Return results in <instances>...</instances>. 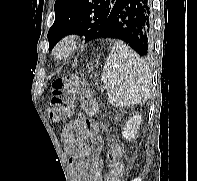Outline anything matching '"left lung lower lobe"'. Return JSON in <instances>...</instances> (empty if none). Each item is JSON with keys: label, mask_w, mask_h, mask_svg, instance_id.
I'll return each mask as SVG.
<instances>
[{"label": "left lung lower lobe", "mask_w": 197, "mask_h": 181, "mask_svg": "<svg viewBox=\"0 0 197 181\" xmlns=\"http://www.w3.org/2000/svg\"><path fill=\"white\" fill-rule=\"evenodd\" d=\"M151 0H117L99 32V38L121 40L140 56L152 52Z\"/></svg>", "instance_id": "obj_1"}]
</instances>
